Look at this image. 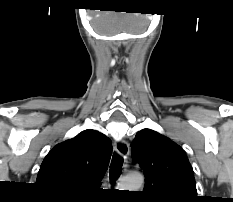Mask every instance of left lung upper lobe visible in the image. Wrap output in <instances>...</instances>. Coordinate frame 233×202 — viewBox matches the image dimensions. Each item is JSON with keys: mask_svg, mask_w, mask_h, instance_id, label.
Returning a JSON list of instances; mask_svg holds the SVG:
<instances>
[{"mask_svg": "<svg viewBox=\"0 0 233 202\" xmlns=\"http://www.w3.org/2000/svg\"><path fill=\"white\" fill-rule=\"evenodd\" d=\"M132 157L144 170L147 201H197L193 169L179 145L156 131L143 129L133 140Z\"/></svg>", "mask_w": 233, "mask_h": 202, "instance_id": "5c2ea615", "label": "left lung upper lobe"}]
</instances>
